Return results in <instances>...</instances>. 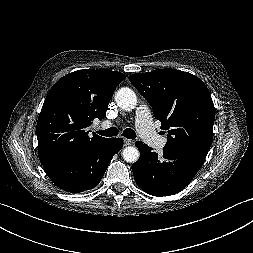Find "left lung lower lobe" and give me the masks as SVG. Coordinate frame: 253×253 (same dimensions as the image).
I'll return each instance as SVG.
<instances>
[{"instance_id": "obj_1", "label": "left lung lower lobe", "mask_w": 253, "mask_h": 253, "mask_svg": "<svg viewBox=\"0 0 253 253\" xmlns=\"http://www.w3.org/2000/svg\"><path fill=\"white\" fill-rule=\"evenodd\" d=\"M140 158L132 165L137 185L153 196H168L184 189L204 163L207 152L175 153L163 149V158L141 141L135 143Z\"/></svg>"}]
</instances>
